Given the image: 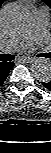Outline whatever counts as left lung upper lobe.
<instances>
[{
  "label": "left lung upper lobe",
  "mask_w": 51,
  "mask_h": 153,
  "mask_svg": "<svg viewBox=\"0 0 51 153\" xmlns=\"http://www.w3.org/2000/svg\"><path fill=\"white\" fill-rule=\"evenodd\" d=\"M42 1L45 2L51 8V0H42Z\"/></svg>",
  "instance_id": "left-lung-upper-lobe-1"
}]
</instances>
